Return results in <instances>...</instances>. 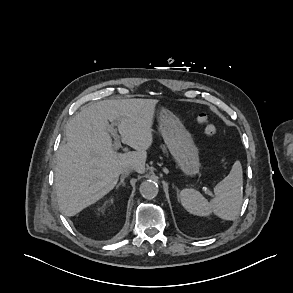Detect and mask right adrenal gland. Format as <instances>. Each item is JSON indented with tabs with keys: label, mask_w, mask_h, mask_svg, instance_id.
I'll list each match as a JSON object with an SVG mask.
<instances>
[{
	"label": "right adrenal gland",
	"mask_w": 293,
	"mask_h": 293,
	"mask_svg": "<svg viewBox=\"0 0 293 293\" xmlns=\"http://www.w3.org/2000/svg\"><path fill=\"white\" fill-rule=\"evenodd\" d=\"M128 176V174L122 175L120 178V182L117 184L116 189L119 188L120 185L125 186L124 180Z\"/></svg>",
	"instance_id": "obj_1"
}]
</instances>
